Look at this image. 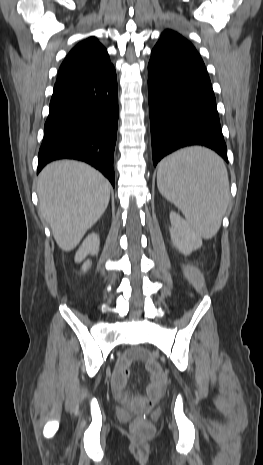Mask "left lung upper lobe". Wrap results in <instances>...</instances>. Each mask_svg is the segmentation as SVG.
Listing matches in <instances>:
<instances>
[{
	"label": "left lung upper lobe",
	"instance_id": "1",
	"mask_svg": "<svg viewBox=\"0 0 263 465\" xmlns=\"http://www.w3.org/2000/svg\"><path fill=\"white\" fill-rule=\"evenodd\" d=\"M157 44H161V45L170 44V45H177L181 47L195 49L194 46L189 41H187L181 35H179L178 33L172 30L164 31L161 34V38Z\"/></svg>",
	"mask_w": 263,
	"mask_h": 465
}]
</instances>
